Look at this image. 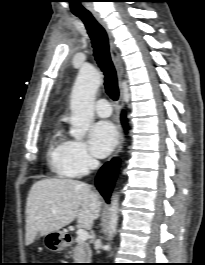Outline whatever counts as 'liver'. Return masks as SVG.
Here are the masks:
<instances>
[{
  "mask_svg": "<svg viewBox=\"0 0 205 265\" xmlns=\"http://www.w3.org/2000/svg\"><path fill=\"white\" fill-rule=\"evenodd\" d=\"M101 202L91 186L71 179H43L35 182L26 203V239L32 244L38 234L59 231L77 218L87 230L99 217Z\"/></svg>",
  "mask_w": 205,
  "mask_h": 265,
  "instance_id": "6515ba94",
  "label": "liver"
}]
</instances>
